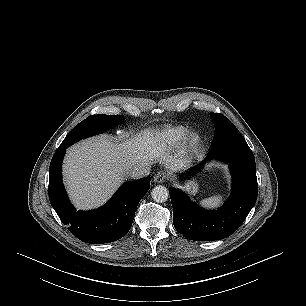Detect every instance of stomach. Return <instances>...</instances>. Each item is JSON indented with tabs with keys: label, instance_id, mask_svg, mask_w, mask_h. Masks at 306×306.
Instances as JSON below:
<instances>
[{
	"label": "stomach",
	"instance_id": "obj_1",
	"mask_svg": "<svg viewBox=\"0 0 306 306\" xmlns=\"http://www.w3.org/2000/svg\"><path fill=\"white\" fill-rule=\"evenodd\" d=\"M184 189L191 195H196L199 190V185L196 180H188L184 185Z\"/></svg>",
	"mask_w": 306,
	"mask_h": 306
}]
</instances>
